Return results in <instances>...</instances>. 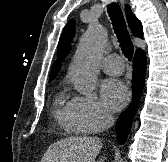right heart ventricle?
I'll use <instances>...</instances> for the list:
<instances>
[{
	"mask_svg": "<svg viewBox=\"0 0 168 162\" xmlns=\"http://www.w3.org/2000/svg\"><path fill=\"white\" fill-rule=\"evenodd\" d=\"M54 111L58 121L67 127L74 134L86 133L78 125H76L69 114V102L65 103L64 94L60 93L54 102Z\"/></svg>",
	"mask_w": 168,
	"mask_h": 162,
	"instance_id": "1",
	"label": "right heart ventricle"
}]
</instances>
